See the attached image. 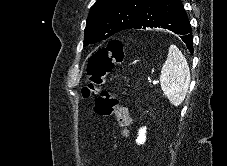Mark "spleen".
<instances>
[{
	"label": "spleen",
	"mask_w": 227,
	"mask_h": 166,
	"mask_svg": "<svg viewBox=\"0 0 227 166\" xmlns=\"http://www.w3.org/2000/svg\"><path fill=\"white\" fill-rule=\"evenodd\" d=\"M160 83L164 95L174 106L185 99L190 84V70L186 58L176 45H171L162 67Z\"/></svg>",
	"instance_id": "obj_1"
}]
</instances>
